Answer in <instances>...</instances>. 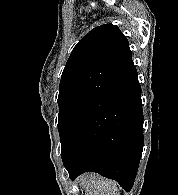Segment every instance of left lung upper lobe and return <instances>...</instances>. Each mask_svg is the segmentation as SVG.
Returning a JSON list of instances; mask_svg holds the SVG:
<instances>
[{
  "label": "left lung upper lobe",
  "instance_id": "5c2ea615",
  "mask_svg": "<svg viewBox=\"0 0 178 195\" xmlns=\"http://www.w3.org/2000/svg\"><path fill=\"white\" fill-rule=\"evenodd\" d=\"M136 76L128 40L117 26H98L77 43L59 85L61 152Z\"/></svg>",
  "mask_w": 178,
  "mask_h": 195
}]
</instances>
